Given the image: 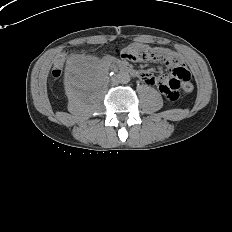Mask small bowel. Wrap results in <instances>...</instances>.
Listing matches in <instances>:
<instances>
[{
    "instance_id": "c3829d8e",
    "label": "small bowel",
    "mask_w": 232,
    "mask_h": 232,
    "mask_svg": "<svg viewBox=\"0 0 232 232\" xmlns=\"http://www.w3.org/2000/svg\"><path fill=\"white\" fill-rule=\"evenodd\" d=\"M131 48H134L135 50H137L139 48H146V46L136 43V44H133ZM156 50L161 53V56L166 59L167 64H169L172 67V69L174 67H182L183 65L182 59L174 52L168 49H156ZM108 60H113V58L108 57ZM150 60H153V59H150ZM141 80L146 85H149V86L156 85L158 87V90L162 92L163 95L167 96L171 94V91H172L171 86L168 85L166 82H164L165 78L155 77L154 75L150 73L143 72L141 74ZM186 86L190 91L192 90L193 86L190 80L187 82Z\"/></svg>"
}]
</instances>
